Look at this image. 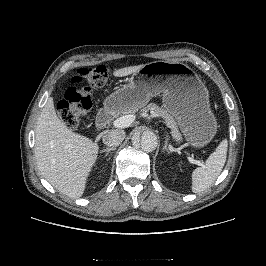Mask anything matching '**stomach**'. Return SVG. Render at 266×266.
<instances>
[{"mask_svg":"<svg viewBox=\"0 0 266 266\" xmlns=\"http://www.w3.org/2000/svg\"><path fill=\"white\" fill-rule=\"evenodd\" d=\"M162 94L163 108L178 122L192 148L207 145L215 136L217 122L209 104L208 90L187 64L155 61L133 73L129 84L110 94L107 110H136Z\"/></svg>","mask_w":266,"mask_h":266,"instance_id":"0dacf381","label":"stomach"}]
</instances>
